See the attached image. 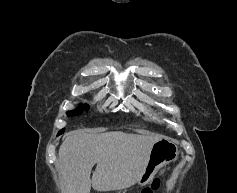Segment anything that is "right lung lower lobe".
Here are the masks:
<instances>
[{"label":"right lung lower lobe","instance_id":"1","mask_svg":"<svg viewBox=\"0 0 237 193\" xmlns=\"http://www.w3.org/2000/svg\"><path fill=\"white\" fill-rule=\"evenodd\" d=\"M63 131H64V129H63V130H61V131L58 133V135H59V134H61Z\"/></svg>","mask_w":237,"mask_h":193}]
</instances>
